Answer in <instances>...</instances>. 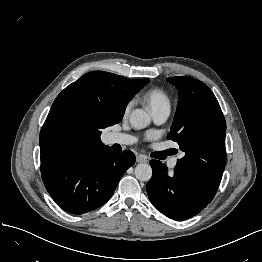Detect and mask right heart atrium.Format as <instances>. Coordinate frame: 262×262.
I'll return each instance as SVG.
<instances>
[{"mask_svg": "<svg viewBox=\"0 0 262 262\" xmlns=\"http://www.w3.org/2000/svg\"><path fill=\"white\" fill-rule=\"evenodd\" d=\"M131 106H132V102L130 101L129 103H127V105L124 108V113L125 114H127L130 111Z\"/></svg>", "mask_w": 262, "mask_h": 262, "instance_id": "1", "label": "right heart atrium"}]
</instances>
